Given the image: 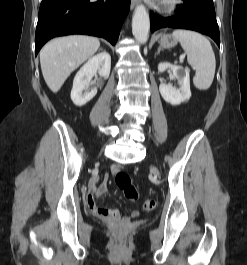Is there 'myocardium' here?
<instances>
[{
	"instance_id": "f54148a6",
	"label": "myocardium",
	"mask_w": 247,
	"mask_h": 265,
	"mask_svg": "<svg viewBox=\"0 0 247 265\" xmlns=\"http://www.w3.org/2000/svg\"><path fill=\"white\" fill-rule=\"evenodd\" d=\"M182 0H161V9L166 13L176 12L182 5Z\"/></svg>"
}]
</instances>
